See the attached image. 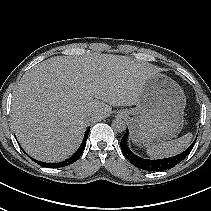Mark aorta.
<instances>
[{
	"label": "aorta",
	"instance_id": "obj_1",
	"mask_svg": "<svg viewBox=\"0 0 211 211\" xmlns=\"http://www.w3.org/2000/svg\"><path fill=\"white\" fill-rule=\"evenodd\" d=\"M112 128L116 132H123L126 129V123L122 119H114L112 121Z\"/></svg>",
	"mask_w": 211,
	"mask_h": 211
}]
</instances>
